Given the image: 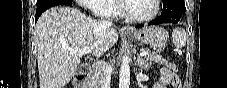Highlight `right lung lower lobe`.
Listing matches in <instances>:
<instances>
[{
    "mask_svg": "<svg viewBox=\"0 0 227 88\" xmlns=\"http://www.w3.org/2000/svg\"><path fill=\"white\" fill-rule=\"evenodd\" d=\"M55 6V5H43L41 7H37V11H36V16H35V22L38 20V18L40 17V15L47 10L48 8Z\"/></svg>",
    "mask_w": 227,
    "mask_h": 88,
    "instance_id": "right-lung-lower-lobe-1",
    "label": "right lung lower lobe"
}]
</instances>
